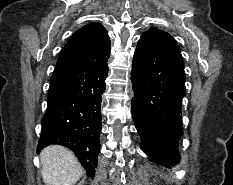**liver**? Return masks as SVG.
<instances>
[{
	"instance_id": "6515ba94",
	"label": "liver",
	"mask_w": 233,
	"mask_h": 185,
	"mask_svg": "<svg viewBox=\"0 0 233 185\" xmlns=\"http://www.w3.org/2000/svg\"><path fill=\"white\" fill-rule=\"evenodd\" d=\"M42 178L46 185H74L83 168L75 155L59 145L46 147L40 154Z\"/></svg>"
}]
</instances>
